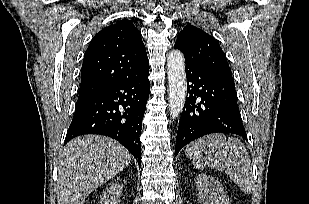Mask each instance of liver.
<instances>
[{
  "mask_svg": "<svg viewBox=\"0 0 309 204\" xmlns=\"http://www.w3.org/2000/svg\"><path fill=\"white\" fill-rule=\"evenodd\" d=\"M131 160L117 141L85 135L71 140L59 155L58 204H83L85 198L121 172Z\"/></svg>",
  "mask_w": 309,
  "mask_h": 204,
  "instance_id": "obj_1",
  "label": "liver"
}]
</instances>
